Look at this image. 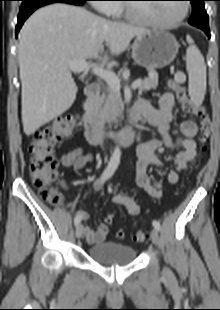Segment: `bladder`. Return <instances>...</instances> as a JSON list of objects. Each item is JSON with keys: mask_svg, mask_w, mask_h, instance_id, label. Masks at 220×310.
<instances>
[{"mask_svg": "<svg viewBox=\"0 0 220 310\" xmlns=\"http://www.w3.org/2000/svg\"><path fill=\"white\" fill-rule=\"evenodd\" d=\"M88 256L95 262L106 265H125L132 263L136 249L121 243L104 241L88 249Z\"/></svg>", "mask_w": 220, "mask_h": 310, "instance_id": "1", "label": "bladder"}]
</instances>
